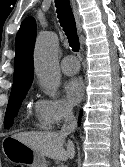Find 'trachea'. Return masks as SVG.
Here are the masks:
<instances>
[{"mask_svg": "<svg viewBox=\"0 0 125 167\" xmlns=\"http://www.w3.org/2000/svg\"><path fill=\"white\" fill-rule=\"evenodd\" d=\"M55 5L60 25L63 27V30L68 38L69 45L73 51L77 52L79 51L80 45L70 2L69 0H55Z\"/></svg>", "mask_w": 125, "mask_h": 167, "instance_id": "obj_1", "label": "trachea"}]
</instances>
